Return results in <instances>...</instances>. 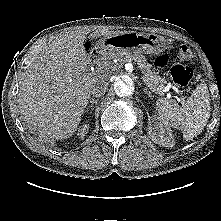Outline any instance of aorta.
I'll return each mask as SVG.
<instances>
[{
    "label": "aorta",
    "instance_id": "1",
    "mask_svg": "<svg viewBox=\"0 0 221 221\" xmlns=\"http://www.w3.org/2000/svg\"><path fill=\"white\" fill-rule=\"evenodd\" d=\"M113 89L117 96L126 97L133 93V86L127 82H125L121 78H117L113 83Z\"/></svg>",
    "mask_w": 221,
    "mask_h": 221
}]
</instances>
